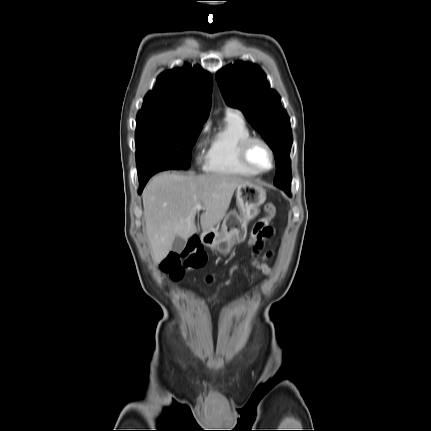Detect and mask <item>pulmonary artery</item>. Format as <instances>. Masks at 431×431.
Masks as SVG:
<instances>
[{"instance_id":"e3ab8cb5","label":"pulmonary artery","mask_w":431,"mask_h":431,"mask_svg":"<svg viewBox=\"0 0 431 431\" xmlns=\"http://www.w3.org/2000/svg\"><path fill=\"white\" fill-rule=\"evenodd\" d=\"M227 113H237V112L232 109H227Z\"/></svg>"}]
</instances>
